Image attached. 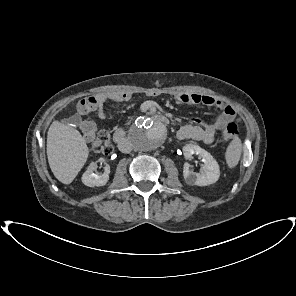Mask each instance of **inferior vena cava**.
<instances>
[{"label":"inferior vena cava","instance_id":"1","mask_svg":"<svg viewBox=\"0 0 296 296\" xmlns=\"http://www.w3.org/2000/svg\"><path fill=\"white\" fill-rule=\"evenodd\" d=\"M119 149L122 152H129L131 150V144L129 142L126 143H120L119 144Z\"/></svg>","mask_w":296,"mask_h":296}]
</instances>
